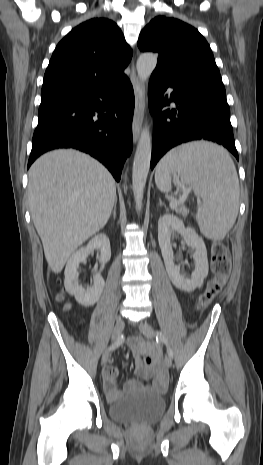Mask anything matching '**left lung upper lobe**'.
I'll return each mask as SVG.
<instances>
[{"mask_svg": "<svg viewBox=\"0 0 263 465\" xmlns=\"http://www.w3.org/2000/svg\"><path fill=\"white\" fill-rule=\"evenodd\" d=\"M141 51L158 52L154 72L177 78H193L225 92L212 50L191 25L175 18L158 16L141 31Z\"/></svg>", "mask_w": 263, "mask_h": 465, "instance_id": "left-lung-upper-lobe-1", "label": "left lung upper lobe"}]
</instances>
